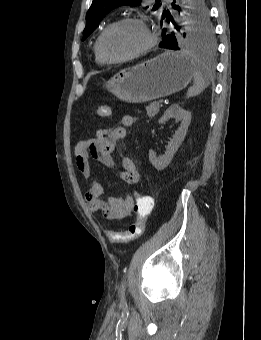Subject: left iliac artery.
I'll return each mask as SVG.
<instances>
[{"label": "left iliac artery", "instance_id": "44dca946", "mask_svg": "<svg viewBox=\"0 0 261 340\" xmlns=\"http://www.w3.org/2000/svg\"><path fill=\"white\" fill-rule=\"evenodd\" d=\"M125 289H126V281H123L120 287V304L121 305L126 304Z\"/></svg>", "mask_w": 261, "mask_h": 340}]
</instances>
